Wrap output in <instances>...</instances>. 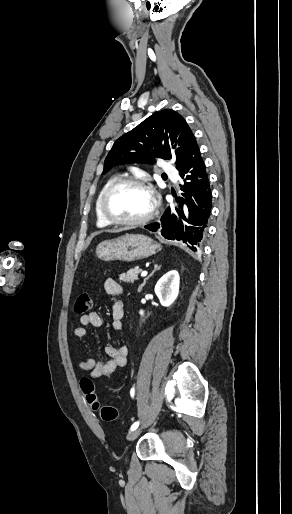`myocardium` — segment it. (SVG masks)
<instances>
[{
    "label": "myocardium",
    "instance_id": "obj_1",
    "mask_svg": "<svg viewBox=\"0 0 292 514\" xmlns=\"http://www.w3.org/2000/svg\"><path fill=\"white\" fill-rule=\"evenodd\" d=\"M126 185L138 186L140 188L145 189L150 194L151 207H150L149 211L143 217H140L138 219H133V220H121V219L115 218L108 212V210L106 208V200H107L108 195L116 188H119L121 186H126ZM155 209H156L155 198L153 197L151 191L149 190L147 185L144 183V181H142L141 179H139L137 177H124V178H119V179L114 180L103 190V192L100 196V199H99V211H100L101 215L110 224H116V225H121V226H137V225L144 224L145 222H147L148 220L151 219V217L153 216V214L155 212Z\"/></svg>",
    "mask_w": 292,
    "mask_h": 514
}]
</instances>
